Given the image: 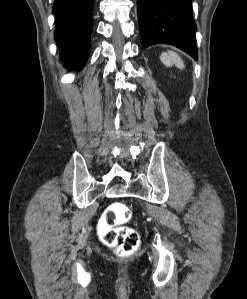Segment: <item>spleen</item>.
<instances>
[{"label": "spleen", "instance_id": "spleen-1", "mask_svg": "<svg viewBox=\"0 0 247 299\" xmlns=\"http://www.w3.org/2000/svg\"><path fill=\"white\" fill-rule=\"evenodd\" d=\"M160 60L167 67H172L173 65L180 69H183L185 67L181 57L177 53L172 51L162 53L160 56Z\"/></svg>", "mask_w": 247, "mask_h": 299}]
</instances>
